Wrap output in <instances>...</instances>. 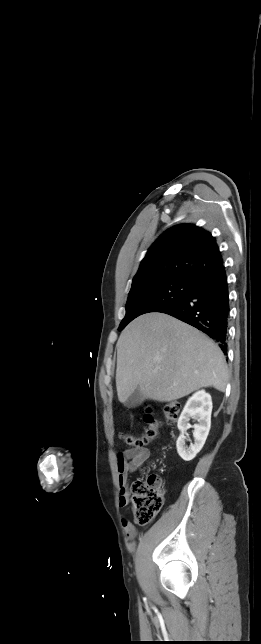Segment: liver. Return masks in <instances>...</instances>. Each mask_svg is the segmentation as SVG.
<instances>
[{"mask_svg":"<svg viewBox=\"0 0 261 644\" xmlns=\"http://www.w3.org/2000/svg\"><path fill=\"white\" fill-rule=\"evenodd\" d=\"M116 347L121 403L137 388L143 399L159 402L180 399L203 387L226 389L228 370L221 349L202 332L167 314L134 319Z\"/></svg>","mask_w":261,"mask_h":644,"instance_id":"1","label":"liver"}]
</instances>
